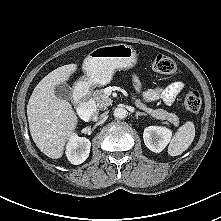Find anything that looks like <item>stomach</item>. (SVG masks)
Here are the masks:
<instances>
[{"label":"stomach","mask_w":221,"mask_h":221,"mask_svg":"<svg viewBox=\"0 0 221 221\" xmlns=\"http://www.w3.org/2000/svg\"><path fill=\"white\" fill-rule=\"evenodd\" d=\"M137 62V54L131 45L111 44L92 50L85 58V73L80 84L87 88L108 84L116 70L130 69Z\"/></svg>","instance_id":"obj_1"}]
</instances>
